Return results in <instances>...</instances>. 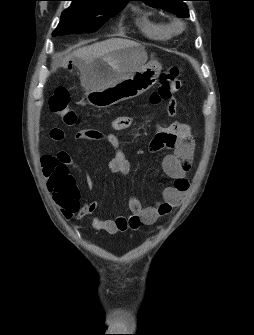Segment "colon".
Segmentation results:
<instances>
[{
    "mask_svg": "<svg viewBox=\"0 0 254 335\" xmlns=\"http://www.w3.org/2000/svg\"><path fill=\"white\" fill-rule=\"evenodd\" d=\"M181 71L178 67H173L161 75L159 88L151 94V102L158 104L162 101L168 102L169 96L182 87L180 78ZM49 109L56 116L60 117L64 124L74 126L77 122V115L70 107V94L67 88L57 87L49 97ZM169 104V103H168ZM172 141V138H168ZM44 173L48 178V187L55 190L58 200H64L71 195L75 198L78 192L73 189L71 182L65 177V170L58 159V156L43 157ZM59 167V168H58ZM77 201V200H76Z\"/></svg>",
    "mask_w": 254,
    "mask_h": 335,
    "instance_id": "obj_1",
    "label": "colon"
}]
</instances>
